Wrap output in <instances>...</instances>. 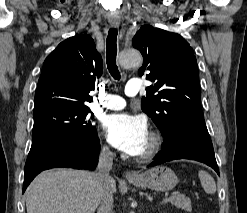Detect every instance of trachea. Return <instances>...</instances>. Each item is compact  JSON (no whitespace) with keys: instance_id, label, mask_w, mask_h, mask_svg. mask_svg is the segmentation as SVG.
Segmentation results:
<instances>
[{"instance_id":"trachea-1","label":"trachea","mask_w":247,"mask_h":213,"mask_svg":"<svg viewBox=\"0 0 247 213\" xmlns=\"http://www.w3.org/2000/svg\"><path fill=\"white\" fill-rule=\"evenodd\" d=\"M117 29H110L107 36V45H106V63L107 68L111 76L115 80L120 79V72L116 65V55H117Z\"/></svg>"}]
</instances>
